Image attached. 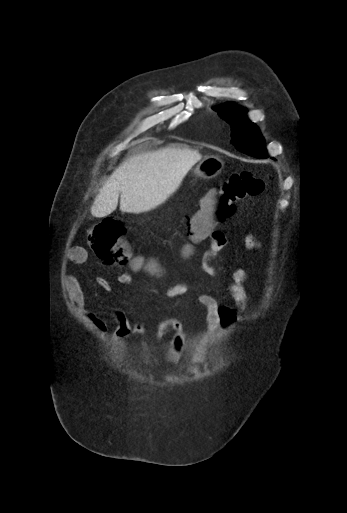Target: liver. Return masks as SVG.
Listing matches in <instances>:
<instances>
[{
	"label": "liver",
	"instance_id": "1",
	"mask_svg": "<svg viewBox=\"0 0 347 513\" xmlns=\"http://www.w3.org/2000/svg\"><path fill=\"white\" fill-rule=\"evenodd\" d=\"M202 155L189 148L165 147L135 154L110 176L91 207L93 217L102 218L116 210L141 213L163 203L176 190Z\"/></svg>",
	"mask_w": 347,
	"mask_h": 513
}]
</instances>
